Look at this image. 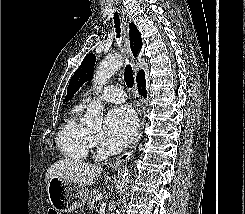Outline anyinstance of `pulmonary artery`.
I'll list each match as a JSON object with an SVG mask.
<instances>
[{
  "label": "pulmonary artery",
  "mask_w": 245,
  "mask_h": 214,
  "mask_svg": "<svg viewBox=\"0 0 245 214\" xmlns=\"http://www.w3.org/2000/svg\"><path fill=\"white\" fill-rule=\"evenodd\" d=\"M99 98L105 101H109L112 103H122L126 100V93L123 91V89L117 87V86H108L104 88L100 94ZM92 101L91 96H86L82 103L83 104H89Z\"/></svg>",
  "instance_id": "e3ab8cb5"
}]
</instances>
